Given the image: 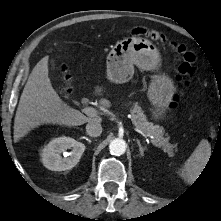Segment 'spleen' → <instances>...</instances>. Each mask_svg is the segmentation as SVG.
Here are the masks:
<instances>
[{
	"label": "spleen",
	"instance_id": "3e777b00",
	"mask_svg": "<svg viewBox=\"0 0 221 221\" xmlns=\"http://www.w3.org/2000/svg\"><path fill=\"white\" fill-rule=\"evenodd\" d=\"M210 155V143L206 139L201 140L182 168L183 178L188 182L195 180L205 167Z\"/></svg>",
	"mask_w": 221,
	"mask_h": 221
}]
</instances>
